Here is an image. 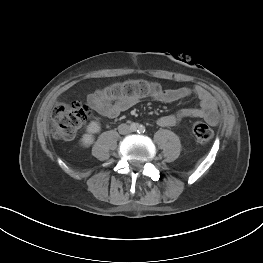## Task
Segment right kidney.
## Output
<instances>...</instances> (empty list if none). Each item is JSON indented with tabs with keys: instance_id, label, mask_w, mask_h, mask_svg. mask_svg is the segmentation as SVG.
<instances>
[{
	"instance_id": "1",
	"label": "right kidney",
	"mask_w": 263,
	"mask_h": 263,
	"mask_svg": "<svg viewBox=\"0 0 263 263\" xmlns=\"http://www.w3.org/2000/svg\"><path fill=\"white\" fill-rule=\"evenodd\" d=\"M87 133L83 135L81 141L85 146H89L93 143V134L100 131V124L96 121H91L86 129Z\"/></svg>"
}]
</instances>
